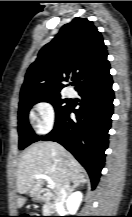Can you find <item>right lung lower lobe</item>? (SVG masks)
I'll use <instances>...</instances> for the list:
<instances>
[{
	"mask_svg": "<svg viewBox=\"0 0 132 217\" xmlns=\"http://www.w3.org/2000/svg\"><path fill=\"white\" fill-rule=\"evenodd\" d=\"M112 78L80 88V108L69 106L56 119L54 129L42 137L43 141H56L69 150L87 170L92 188L99 181L104 166V151L108 147L114 93ZM74 112L76 120L69 114Z\"/></svg>",
	"mask_w": 132,
	"mask_h": 217,
	"instance_id": "right-lung-lower-lobe-1",
	"label": "right lung lower lobe"
}]
</instances>
